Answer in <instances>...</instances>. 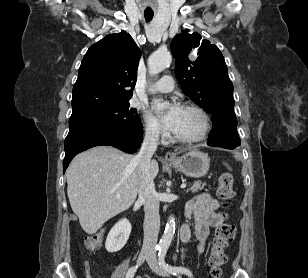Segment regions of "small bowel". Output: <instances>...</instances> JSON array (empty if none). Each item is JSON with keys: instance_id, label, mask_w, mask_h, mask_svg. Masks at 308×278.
<instances>
[{"instance_id": "obj_1", "label": "small bowel", "mask_w": 308, "mask_h": 278, "mask_svg": "<svg viewBox=\"0 0 308 278\" xmlns=\"http://www.w3.org/2000/svg\"><path fill=\"white\" fill-rule=\"evenodd\" d=\"M219 203L208 193L200 194L191 199L185 207L187 221L194 220L195 235L198 240V253H203L205 243L210 233V228L218 227L223 223V215L218 211ZM191 228L186 222L180 229V239L183 244L189 242Z\"/></svg>"}]
</instances>
